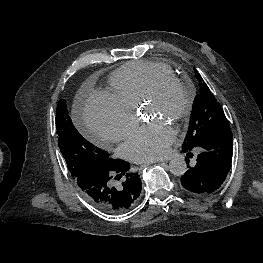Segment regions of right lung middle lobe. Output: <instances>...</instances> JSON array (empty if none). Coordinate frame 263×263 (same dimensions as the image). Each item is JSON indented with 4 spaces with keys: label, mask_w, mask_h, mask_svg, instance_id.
<instances>
[{
    "label": "right lung middle lobe",
    "mask_w": 263,
    "mask_h": 263,
    "mask_svg": "<svg viewBox=\"0 0 263 263\" xmlns=\"http://www.w3.org/2000/svg\"><path fill=\"white\" fill-rule=\"evenodd\" d=\"M56 129L60 151L73 179L89 169L107 166L109 154L89 143L74 127L66 101L60 100L56 110Z\"/></svg>",
    "instance_id": "right-lung-middle-lobe-1"
}]
</instances>
